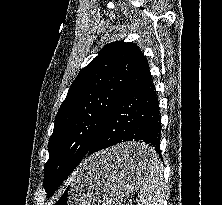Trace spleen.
I'll list each match as a JSON object with an SVG mask.
<instances>
[{
    "label": "spleen",
    "mask_w": 222,
    "mask_h": 205,
    "mask_svg": "<svg viewBox=\"0 0 222 205\" xmlns=\"http://www.w3.org/2000/svg\"><path fill=\"white\" fill-rule=\"evenodd\" d=\"M163 168L161 164L153 158L149 173L147 174L144 184L140 189L139 205H163L164 201V183Z\"/></svg>",
    "instance_id": "obj_1"
}]
</instances>
